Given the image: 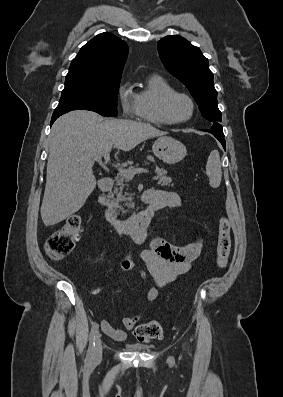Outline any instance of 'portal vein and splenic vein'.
<instances>
[{"label":"portal vein and splenic vein","instance_id":"1","mask_svg":"<svg viewBox=\"0 0 283 397\" xmlns=\"http://www.w3.org/2000/svg\"><path fill=\"white\" fill-rule=\"evenodd\" d=\"M96 161L101 162V158L100 157L96 158ZM104 161H105V164L110 162V154L109 153H106L104 155ZM117 169H118V173L120 175L126 177L127 179H132L135 176V174L149 173V171L145 168L125 169V168L120 167Z\"/></svg>","mask_w":283,"mask_h":397}]
</instances>
